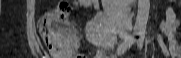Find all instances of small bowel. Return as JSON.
<instances>
[{"label": "small bowel", "mask_w": 181, "mask_h": 58, "mask_svg": "<svg viewBox=\"0 0 181 58\" xmlns=\"http://www.w3.org/2000/svg\"><path fill=\"white\" fill-rule=\"evenodd\" d=\"M74 7H83L88 9L99 10L100 4L98 0H75ZM161 30L167 35L169 39V53L172 58H181V45L177 39L178 21L174 11L169 8L167 10L166 19L160 25ZM163 51L167 53L166 49L162 47ZM103 50L99 51L96 58L105 57Z\"/></svg>", "instance_id": "1"}]
</instances>
